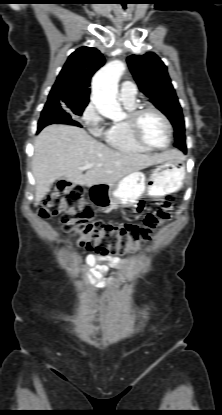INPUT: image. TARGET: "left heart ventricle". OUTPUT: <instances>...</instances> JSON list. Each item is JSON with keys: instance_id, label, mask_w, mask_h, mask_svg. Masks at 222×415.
I'll list each match as a JSON object with an SVG mask.
<instances>
[{"instance_id": "1", "label": "left heart ventricle", "mask_w": 222, "mask_h": 415, "mask_svg": "<svg viewBox=\"0 0 222 415\" xmlns=\"http://www.w3.org/2000/svg\"><path fill=\"white\" fill-rule=\"evenodd\" d=\"M140 129L144 139L154 146H163L167 142V127L159 115L154 112L149 111L143 114Z\"/></svg>"}]
</instances>
